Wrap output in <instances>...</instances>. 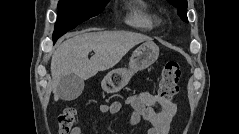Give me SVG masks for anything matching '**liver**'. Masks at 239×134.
<instances>
[{
  "label": "liver",
  "instance_id": "1",
  "mask_svg": "<svg viewBox=\"0 0 239 134\" xmlns=\"http://www.w3.org/2000/svg\"><path fill=\"white\" fill-rule=\"evenodd\" d=\"M151 38L127 31H104L78 34L63 42L51 59L52 90L54 100L61 78L75 74L86 80L98 73L114 67L134 46ZM94 51L89 59L88 54Z\"/></svg>",
  "mask_w": 239,
  "mask_h": 134
}]
</instances>
